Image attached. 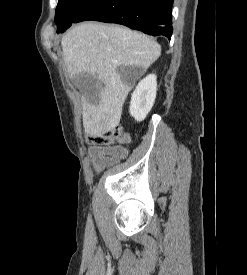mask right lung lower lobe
Wrapping results in <instances>:
<instances>
[{
	"mask_svg": "<svg viewBox=\"0 0 247 275\" xmlns=\"http://www.w3.org/2000/svg\"><path fill=\"white\" fill-rule=\"evenodd\" d=\"M173 0H99L74 23L95 20L125 25L152 36L172 35Z\"/></svg>",
	"mask_w": 247,
	"mask_h": 275,
	"instance_id": "obj_1",
	"label": "right lung lower lobe"
}]
</instances>
